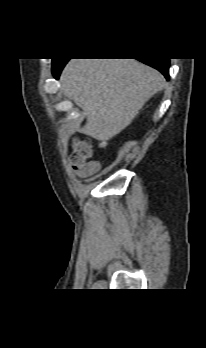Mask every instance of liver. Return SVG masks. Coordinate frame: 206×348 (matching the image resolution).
<instances>
[{"label": "liver", "mask_w": 206, "mask_h": 348, "mask_svg": "<svg viewBox=\"0 0 206 348\" xmlns=\"http://www.w3.org/2000/svg\"><path fill=\"white\" fill-rule=\"evenodd\" d=\"M60 83L87 119L81 131L100 141L124 130L166 85L156 69L136 59H71Z\"/></svg>", "instance_id": "6515ba94"}]
</instances>
